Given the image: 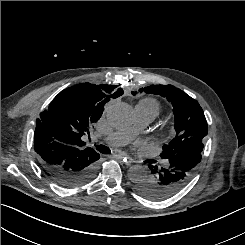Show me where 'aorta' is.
Masks as SVG:
<instances>
[{
    "instance_id": "obj_1",
    "label": "aorta",
    "mask_w": 245,
    "mask_h": 245,
    "mask_svg": "<svg viewBox=\"0 0 245 245\" xmlns=\"http://www.w3.org/2000/svg\"><path fill=\"white\" fill-rule=\"evenodd\" d=\"M106 118L113 127L125 128L133 123L134 112L130 105L123 102H115L107 106ZM149 176V171L139 165L132 166L128 171V177L134 183Z\"/></svg>"
}]
</instances>
